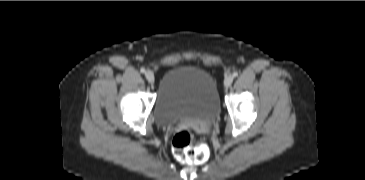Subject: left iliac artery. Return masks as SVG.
I'll return each mask as SVG.
<instances>
[{
	"instance_id": "44dca946",
	"label": "left iliac artery",
	"mask_w": 365,
	"mask_h": 180,
	"mask_svg": "<svg viewBox=\"0 0 365 180\" xmlns=\"http://www.w3.org/2000/svg\"><path fill=\"white\" fill-rule=\"evenodd\" d=\"M233 76H234V77H237V76H238V72H234V73H233Z\"/></svg>"
}]
</instances>
